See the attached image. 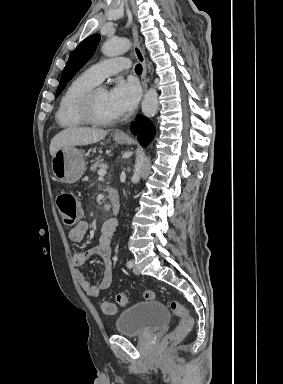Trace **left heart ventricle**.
Returning <instances> with one entry per match:
<instances>
[{
    "instance_id": "b2bd125f",
    "label": "left heart ventricle",
    "mask_w": 283,
    "mask_h": 384,
    "mask_svg": "<svg viewBox=\"0 0 283 384\" xmlns=\"http://www.w3.org/2000/svg\"><path fill=\"white\" fill-rule=\"evenodd\" d=\"M94 110L96 115L103 120H113L118 116L113 112L109 99L108 91L106 89H100L94 99Z\"/></svg>"
}]
</instances>
